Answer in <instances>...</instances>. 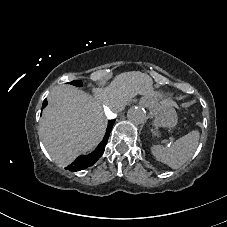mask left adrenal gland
Instances as JSON below:
<instances>
[{"instance_id":"a2214340","label":"left adrenal gland","mask_w":227,"mask_h":227,"mask_svg":"<svg viewBox=\"0 0 227 227\" xmlns=\"http://www.w3.org/2000/svg\"><path fill=\"white\" fill-rule=\"evenodd\" d=\"M155 133H156V134L158 133V128H156V131H155Z\"/></svg>"}]
</instances>
